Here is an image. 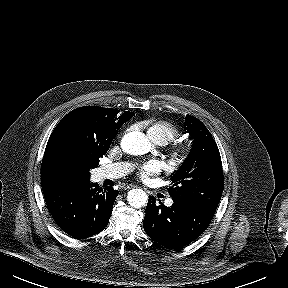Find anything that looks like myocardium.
Returning <instances> with one entry per match:
<instances>
[{
  "label": "myocardium",
  "instance_id": "obj_1",
  "mask_svg": "<svg viewBox=\"0 0 288 288\" xmlns=\"http://www.w3.org/2000/svg\"><path fill=\"white\" fill-rule=\"evenodd\" d=\"M172 151L179 156H186L190 153L192 144L189 141L175 142L172 144Z\"/></svg>",
  "mask_w": 288,
  "mask_h": 288
}]
</instances>
